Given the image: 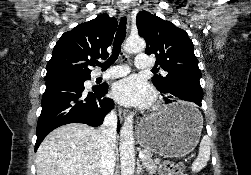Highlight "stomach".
Instances as JSON below:
<instances>
[{
  "label": "stomach",
  "instance_id": "obj_1",
  "mask_svg": "<svg viewBox=\"0 0 251 175\" xmlns=\"http://www.w3.org/2000/svg\"><path fill=\"white\" fill-rule=\"evenodd\" d=\"M203 127L202 115L189 100H175L161 113L141 119L137 141L152 154L183 157L196 147Z\"/></svg>",
  "mask_w": 251,
  "mask_h": 175
}]
</instances>
